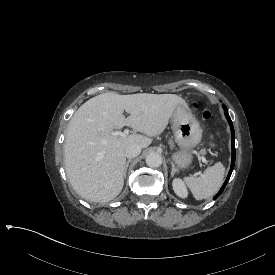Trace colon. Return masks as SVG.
I'll return each mask as SVG.
<instances>
[{
  "mask_svg": "<svg viewBox=\"0 0 275 275\" xmlns=\"http://www.w3.org/2000/svg\"><path fill=\"white\" fill-rule=\"evenodd\" d=\"M202 115L204 119H210L212 116L211 112L208 110H204Z\"/></svg>",
  "mask_w": 275,
  "mask_h": 275,
  "instance_id": "5ec220e1",
  "label": "colon"
}]
</instances>
